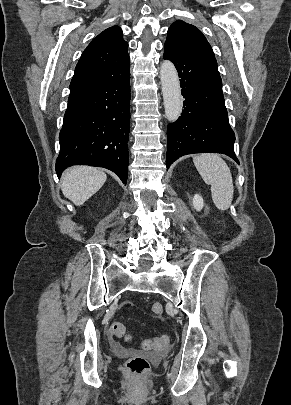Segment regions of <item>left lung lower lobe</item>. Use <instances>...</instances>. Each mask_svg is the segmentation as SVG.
Listing matches in <instances>:
<instances>
[{"instance_id":"obj_1","label":"left lung lower lobe","mask_w":291,"mask_h":405,"mask_svg":"<svg viewBox=\"0 0 291 405\" xmlns=\"http://www.w3.org/2000/svg\"><path fill=\"white\" fill-rule=\"evenodd\" d=\"M164 59L171 60L185 98L178 120L167 128V169L179 157L193 153H222L239 163L214 56L165 42Z\"/></svg>"}]
</instances>
